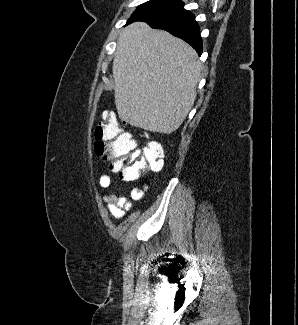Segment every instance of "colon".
<instances>
[{
    "instance_id": "1",
    "label": "colon",
    "mask_w": 298,
    "mask_h": 325,
    "mask_svg": "<svg viewBox=\"0 0 298 325\" xmlns=\"http://www.w3.org/2000/svg\"><path fill=\"white\" fill-rule=\"evenodd\" d=\"M95 149L110 169L126 181L146 177L163 167V151L160 146L151 142L142 153L132 134L123 129L112 111L104 112L96 126Z\"/></svg>"
}]
</instances>
